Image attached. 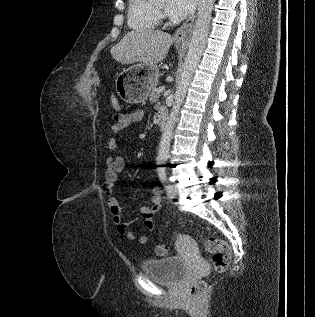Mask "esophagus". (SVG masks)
Segmentation results:
<instances>
[{
  "instance_id": "obj_1",
  "label": "esophagus",
  "mask_w": 315,
  "mask_h": 317,
  "mask_svg": "<svg viewBox=\"0 0 315 317\" xmlns=\"http://www.w3.org/2000/svg\"><path fill=\"white\" fill-rule=\"evenodd\" d=\"M195 15L191 16L174 34L175 40L182 48H187L193 31Z\"/></svg>"
}]
</instances>
